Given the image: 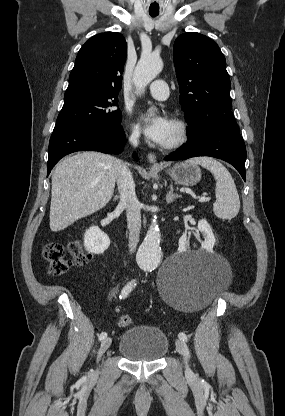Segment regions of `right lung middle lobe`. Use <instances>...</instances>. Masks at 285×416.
<instances>
[{"instance_id":"1","label":"right lung middle lobe","mask_w":285,"mask_h":416,"mask_svg":"<svg viewBox=\"0 0 285 416\" xmlns=\"http://www.w3.org/2000/svg\"><path fill=\"white\" fill-rule=\"evenodd\" d=\"M65 102L56 121L60 126H98L116 128L121 123L118 96L86 97L65 95Z\"/></svg>"}]
</instances>
